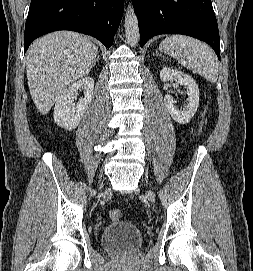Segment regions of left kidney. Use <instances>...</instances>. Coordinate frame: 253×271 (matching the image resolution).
<instances>
[{
    "label": "left kidney",
    "instance_id": "1",
    "mask_svg": "<svg viewBox=\"0 0 253 271\" xmlns=\"http://www.w3.org/2000/svg\"><path fill=\"white\" fill-rule=\"evenodd\" d=\"M160 79L164 82L174 80L177 84L184 86L187 90V104L183 109L174 106V100L171 95H165L164 104L174 121L179 124H187L196 113L199 106V88L195 80L177 69L164 67L160 71Z\"/></svg>",
    "mask_w": 253,
    "mask_h": 271
}]
</instances>
